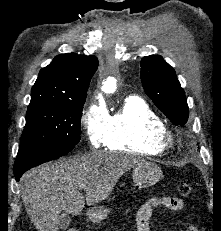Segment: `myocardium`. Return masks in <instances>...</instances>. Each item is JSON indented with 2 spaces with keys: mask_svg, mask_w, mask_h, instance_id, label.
I'll use <instances>...</instances> for the list:
<instances>
[{
  "mask_svg": "<svg viewBox=\"0 0 221 231\" xmlns=\"http://www.w3.org/2000/svg\"><path fill=\"white\" fill-rule=\"evenodd\" d=\"M156 143L164 148L170 147L174 143V136L168 129L161 130L156 136Z\"/></svg>",
  "mask_w": 221,
  "mask_h": 231,
  "instance_id": "obj_1",
  "label": "myocardium"
}]
</instances>
